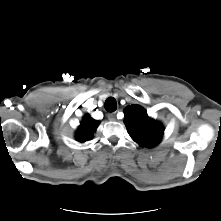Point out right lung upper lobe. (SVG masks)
Wrapping results in <instances>:
<instances>
[{
  "instance_id": "right-lung-upper-lobe-1",
  "label": "right lung upper lobe",
  "mask_w": 221,
  "mask_h": 221,
  "mask_svg": "<svg viewBox=\"0 0 221 221\" xmlns=\"http://www.w3.org/2000/svg\"><path fill=\"white\" fill-rule=\"evenodd\" d=\"M98 125L99 121L92 119L89 115H85L76 132L77 141L85 142L92 139Z\"/></svg>"
}]
</instances>
